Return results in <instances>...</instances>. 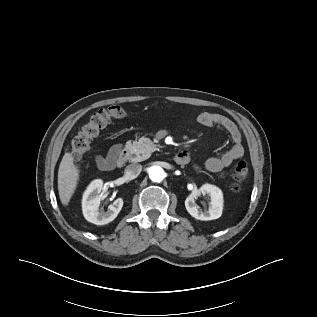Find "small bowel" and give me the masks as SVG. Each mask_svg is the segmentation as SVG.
<instances>
[{
  "label": "small bowel",
  "mask_w": 317,
  "mask_h": 317,
  "mask_svg": "<svg viewBox=\"0 0 317 317\" xmlns=\"http://www.w3.org/2000/svg\"><path fill=\"white\" fill-rule=\"evenodd\" d=\"M197 121L199 124L203 126H219L223 128L229 134L230 138L234 142V145L221 156L210 157L207 160H205L203 164L205 170L211 173H221L225 168L229 167L234 161L244 156L245 151L241 143V132L238 126L231 119L218 113L204 111L197 115ZM119 148V145L113 146L106 157L100 155L96 156L95 162L97 166L100 169L105 170L107 161L113 159L116 156ZM188 162L189 159L185 164H187Z\"/></svg>",
  "instance_id": "c3829d8e"
}]
</instances>
